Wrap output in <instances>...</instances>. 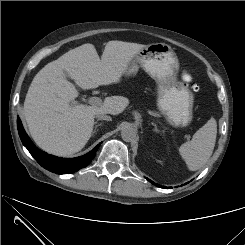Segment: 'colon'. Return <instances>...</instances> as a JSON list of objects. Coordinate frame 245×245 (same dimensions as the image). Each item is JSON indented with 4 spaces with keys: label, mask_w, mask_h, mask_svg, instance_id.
<instances>
[{
    "label": "colon",
    "mask_w": 245,
    "mask_h": 245,
    "mask_svg": "<svg viewBox=\"0 0 245 245\" xmlns=\"http://www.w3.org/2000/svg\"><path fill=\"white\" fill-rule=\"evenodd\" d=\"M192 90H194V91H196V90H198V86L197 85H192Z\"/></svg>",
    "instance_id": "5ec220e1"
}]
</instances>
